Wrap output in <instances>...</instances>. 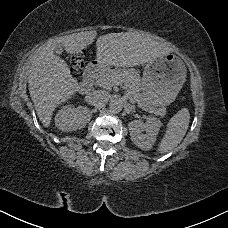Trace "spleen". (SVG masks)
<instances>
[{
	"mask_svg": "<svg viewBox=\"0 0 228 228\" xmlns=\"http://www.w3.org/2000/svg\"><path fill=\"white\" fill-rule=\"evenodd\" d=\"M189 123V110L182 108L169 120L165 134L158 145L157 153H175L176 147L180 144L187 132Z\"/></svg>",
	"mask_w": 228,
	"mask_h": 228,
	"instance_id": "3e777b00",
	"label": "spleen"
}]
</instances>
